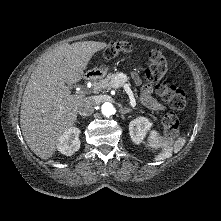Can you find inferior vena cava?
<instances>
[{"instance_id": "602c4592", "label": "inferior vena cava", "mask_w": 221, "mask_h": 221, "mask_svg": "<svg viewBox=\"0 0 221 221\" xmlns=\"http://www.w3.org/2000/svg\"><path fill=\"white\" fill-rule=\"evenodd\" d=\"M96 102L93 97H86L80 103L78 107V112L81 116H88L94 111Z\"/></svg>"}]
</instances>
